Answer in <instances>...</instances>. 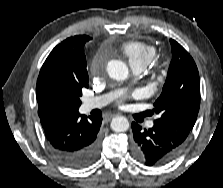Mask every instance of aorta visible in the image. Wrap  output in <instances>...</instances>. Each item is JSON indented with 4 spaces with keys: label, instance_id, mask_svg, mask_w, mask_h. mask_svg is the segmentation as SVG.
I'll return each mask as SVG.
<instances>
[{
    "label": "aorta",
    "instance_id": "obj_1",
    "mask_svg": "<svg viewBox=\"0 0 223 188\" xmlns=\"http://www.w3.org/2000/svg\"><path fill=\"white\" fill-rule=\"evenodd\" d=\"M107 73L110 78L122 81L128 77L129 71L124 62L111 60L107 66ZM110 127L115 132H125L129 128V121L124 116H117L112 119Z\"/></svg>",
    "mask_w": 223,
    "mask_h": 188
}]
</instances>
